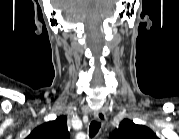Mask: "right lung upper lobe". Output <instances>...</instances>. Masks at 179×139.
<instances>
[{"label":"right lung upper lobe","mask_w":179,"mask_h":139,"mask_svg":"<svg viewBox=\"0 0 179 139\" xmlns=\"http://www.w3.org/2000/svg\"><path fill=\"white\" fill-rule=\"evenodd\" d=\"M67 118L65 116L58 117L54 121H49L35 128L28 139H68Z\"/></svg>","instance_id":"obj_1"}]
</instances>
